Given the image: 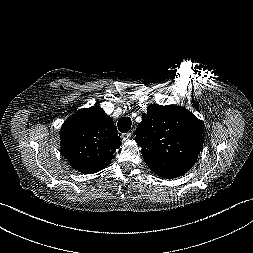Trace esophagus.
Listing matches in <instances>:
<instances>
[{"mask_svg":"<svg viewBox=\"0 0 253 253\" xmlns=\"http://www.w3.org/2000/svg\"><path fill=\"white\" fill-rule=\"evenodd\" d=\"M131 136H132V133H131V132H128V133H126V134H122V140H123V141H126V140L130 139Z\"/></svg>","mask_w":253,"mask_h":253,"instance_id":"34e87169","label":"esophagus"}]
</instances>
